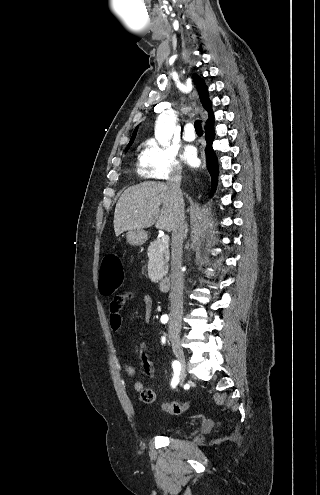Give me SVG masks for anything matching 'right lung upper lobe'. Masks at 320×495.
Instances as JSON below:
<instances>
[{
  "label": "right lung upper lobe",
  "instance_id": "1",
  "mask_svg": "<svg viewBox=\"0 0 320 495\" xmlns=\"http://www.w3.org/2000/svg\"><path fill=\"white\" fill-rule=\"evenodd\" d=\"M192 78H193V81L197 87L200 101H201L204 109L208 112V115H209V118L207 120V125L210 123H213L214 122V115H213V111H212V103L209 100V94H208V89L206 87V84H205L203 78H201L198 74H193ZM136 133H137V128L135 129V131L131 137V140H130L126 149H128L130 147V145L133 143L135 136H136Z\"/></svg>",
  "mask_w": 320,
  "mask_h": 495
}]
</instances>
